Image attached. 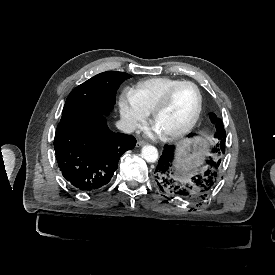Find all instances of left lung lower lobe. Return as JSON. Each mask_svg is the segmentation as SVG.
Listing matches in <instances>:
<instances>
[{
    "label": "left lung lower lobe",
    "mask_w": 275,
    "mask_h": 275,
    "mask_svg": "<svg viewBox=\"0 0 275 275\" xmlns=\"http://www.w3.org/2000/svg\"><path fill=\"white\" fill-rule=\"evenodd\" d=\"M174 146L166 145L154 171L156 186L163 196L170 198H193L207 195L218 180L217 164H210L196 174L177 176L173 171Z\"/></svg>",
    "instance_id": "1"
}]
</instances>
